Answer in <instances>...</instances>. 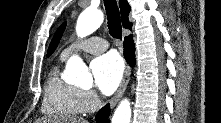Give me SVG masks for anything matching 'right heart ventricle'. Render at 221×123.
Masks as SVG:
<instances>
[{
	"mask_svg": "<svg viewBox=\"0 0 221 123\" xmlns=\"http://www.w3.org/2000/svg\"><path fill=\"white\" fill-rule=\"evenodd\" d=\"M42 111L59 118H71L84 112L80 90L61 79L57 65L51 68L45 81Z\"/></svg>",
	"mask_w": 221,
	"mask_h": 123,
	"instance_id": "1",
	"label": "right heart ventricle"
}]
</instances>
